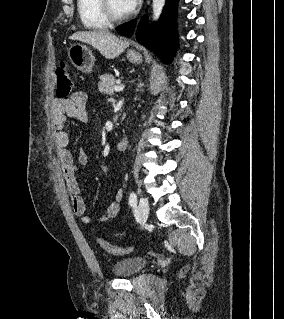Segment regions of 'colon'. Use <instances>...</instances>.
Wrapping results in <instances>:
<instances>
[{
  "label": "colon",
  "instance_id": "obj_1",
  "mask_svg": "<svg viewBox=\"0 0 284 319\" xmlns=\"http://www.w3.org/2000/svg\"><path fill=\"white\" fill-rule=\"evenodd\" d=\"M56 77V96L59 100L66 101L69 99L73 87L72 77L67 65L62 63L57 67ZM97 242L104 251L112 255H123L133 250V246H114L103 239H98Z\"/></svg>",
  "mask_w": 284,
  "mask_h": 319
}]
</instances>
